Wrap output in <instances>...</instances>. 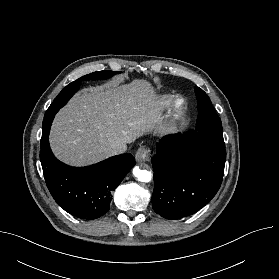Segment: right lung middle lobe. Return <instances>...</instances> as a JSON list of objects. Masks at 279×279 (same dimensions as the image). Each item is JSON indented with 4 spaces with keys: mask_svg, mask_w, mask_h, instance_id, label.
Returning <instances> with one entry per match:
<instances>
[{
    "mask_svg": "<svg viewBox=\"0 0 279 279\" xmlns=\"http://www.w3.org/2000/svg\"><path fill=\"white\" fill-rule=\"evenodd\" d=\"M118 72H113L109 70L98 71L88 75H85L67 85L60 94L54 99L53 103L50 105L48 110L45 113L44 120H43V128L42 132L43 135H48L52 120L54 115L58 112V110L63 107L67 101L72 97V95L78 90L80 82L83 80H102L107 79L117 74ZM42 144H40V147Z\"/></svg>",
    "mask_w": 279,
    "mask_h": 279,
    "instance_id": "obj_1",
    "label": "right lung middle lobe"
}]
</instances>
